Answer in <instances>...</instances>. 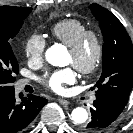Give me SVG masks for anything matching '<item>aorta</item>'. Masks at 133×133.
<instances>
[{
	"mask_svg": "<svg viewBox=\"0 0 133 133\" xmlns=\"http://www.w3.org/2000/svg\"><path fill=\"white\" fill-rule=\"evenodd\" d=\"M45 57L51 65L61 67L65 65L66 51L61 45H53L46 51ZM71 119L75 124H83L88 119V112L83 107H77L73 109Z\"/></svg>",
	"mask_w": 133,
	"mask_h": 133,
	"instance_id": "aorta-1",
	"label": "aorta"
}]
</instances>
